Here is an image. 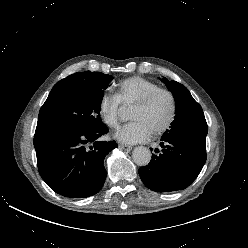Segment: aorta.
I'll return each instance as SVG.
<instances>
[{
  "label": "aorta",
  "instance_id": "obj_1",
  "mask_svg": "<svg viewBox=\"0 0 248 248\" xmlns=\"http://www.w3.org/2000/svg\"><path fill=\"white\" fill-rule=\"evenodd\" d=\"M122 119H127V116L122 115ZM132 157L138 166H146L151 161V152L144 146H138L133 150Z\"/></svg>",
  "mask_w": 248,
  "mask_h": 248
}]
</instances>
